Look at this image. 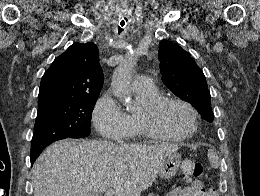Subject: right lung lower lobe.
<instances>
[{
  "instance_id": "obj_1",
  "label": "right lung lower lobe",
  "mask_w": 260,
  "mask_h": 196,
  "mask_svg": "<svg viewBox=\"0 0 260 196\" xmlns=\"http://www.w3.org/2000/svg\"><path fill=\"white\" fill-rule=\"evenodd\" d=\"M43 149H38V150H33L31 151V164L34 163V161L36 160V158L40 155V153L42 152Z\"/></svg>"
}]
</instances>
